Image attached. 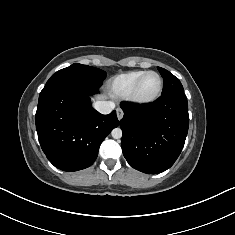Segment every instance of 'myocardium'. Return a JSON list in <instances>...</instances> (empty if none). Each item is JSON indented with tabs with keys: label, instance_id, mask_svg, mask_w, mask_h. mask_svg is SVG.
<instances>
[{
	"label": "myocardium",
	"instance_id": "1",
	"mask_svg": "<svg viewBox=\"0 0 235 235\" xmlns=\"http://www.w3.org/2000/svg\"><path fill=\"white\" fill-rule=\"evenodd\" d=\"M149 74H155L158 77L159 87H158V90L155 93V95H153L152 97L141 98L138 96V89H139V86H140L141 82L143 81V79ZM162 91H163V80H162L161 75L156 71L149 70V71H145L137 79V81L135 82L134 86L132 87V89L128 95V99L136 105L146 106V105H150V104L154 103L155 101H157L159 99V97L161 96Z\"/></svg>",
	"mask_w": 235,
	"mask_h": 235
}]
</instances>
